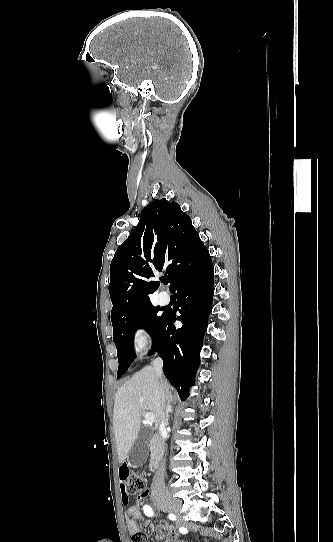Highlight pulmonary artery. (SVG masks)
I'll return each instance as SVG.
<instances>
[{"label": "pulmonary artery", "mask_w": 333, "mask_h": 542, "mask_svg": "<svg viewBox=\"0 0 333 542\" xmlns=\"http://www.w3.org/2000/svg\"><path fill=\"white\" fill-rule=\"evenodd\" d=\"M159 291H160V293H166L165 289H160ZM167 303H168V301H162L161 304L166 305Z\"/></svg>", "instance_id": "e3ab8cb5"}]
</instances>
